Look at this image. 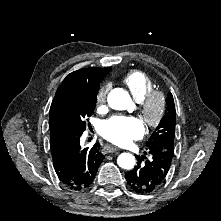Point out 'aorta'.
<instances>
[{
  "instance_id": "762f6f07",
  "label": "aorta",
  "mask_w": 221,
  "mask_h": 221,
  "mask_svg": "<svg viewBox=\"0 0 221 221\" xmlns=\"http://www.w3.org/2000/svg\"><path fill=\"white\" fill-rule=\"evenodd\" d=\"M108 104L115 110H126L132 106V100L129 93L122 88H115L108 94ZM118 165L123 169H133L135 166V157L130 153H122L117 159Z\"/></svg>"
}]
</instances>
